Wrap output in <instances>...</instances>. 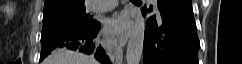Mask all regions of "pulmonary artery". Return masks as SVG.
Instances as JSON below:
<instances>
[{
	"instance_id": "e3ab8cb5",
	"label": "pulmonary artery",
	"mask_w": 242,
	"mask_h": 64,
	"mask_svg": "<svg viewBox=\"0 0 242 64\" xmlns=\"http://www.w3.org/2000/svg\"><path fill=\"white\" fill-rule=\"evenodd\" d=\"M156 4V0H152ZM117 4L116 0H96L93 4V9L96 11H107L114 8Z\"/></svg>"
}]
</instances>
